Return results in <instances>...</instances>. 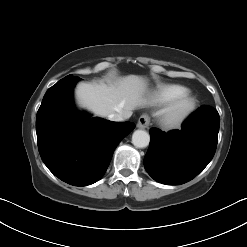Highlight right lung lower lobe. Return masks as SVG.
Masks as SVG:
<instances>
[{
    "mask_svg": "<svg viewBox=\"0 0 247 247\" xmlns=\"http://www.w3.org/2000/svg\"><path fill=\"white\" fill-rule=\"evenodd\" d=\"M79 79L65 77L47 90L37 113L36 133L48 169L68 184L86 186L104 175L115 148L135 124L77 112L72 93Z\"/></svg>",
    "mask_w": 247,
    "mask_h": 247,
    "instance_id": "obj_1",
    "label": "right lung lower lobe"
}]
</instances>
